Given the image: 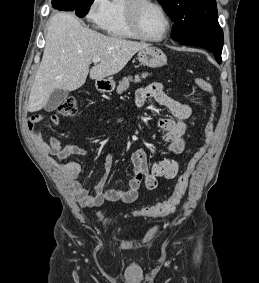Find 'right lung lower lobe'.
Here are the masks:
<instances>
[{"mask_svg":"<svg viewBox=\"0 0 259 283\" xmlns=\"http://www.w3.org/2000/svg\"><path fill=\"white\" fill-rule=\"evenodd\" d=\"M53 7L60 11L75 10L76 0H52Z\"/></svg>","mask_w":259,"mask_h":283,"instance_id":"98d812e1","label":"right lung lower lobe"}]
</instances>
